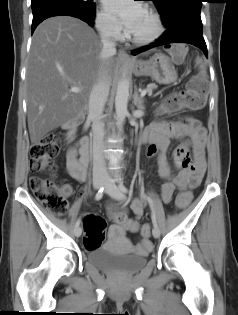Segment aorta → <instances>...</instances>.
Instances as JSON below:
<instances>
[{"instance_id": "762f6f07", "label": "aorta", "mask_w": 238, "mask_h": 315, "mask_svg": "<svg viewBox=\"0 0 238 315\" xmlns=\"http://www.w3.org/2000/svg\"><path fill=\"white\" fill-rule=\"evenodd\" d=\"M128 97H129V80L126 78L125 75H123L122 78L118 81L116 97H115V111H116L117 123H118L120 131H122L123 123L128 113V110H127Z\"/></svg>"}]
</instances>
